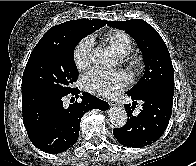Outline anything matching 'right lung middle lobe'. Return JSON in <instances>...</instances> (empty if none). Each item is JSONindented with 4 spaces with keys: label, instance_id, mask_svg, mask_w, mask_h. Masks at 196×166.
<instances>
[{
    "label": "right lung middle lobe",
    "instance_id": "obj_1",
    "mask_svg": "<svg viewBox=\"0 0 196 166\" xmlns=\"http://www.w3.org/2000/svg\"><path fill=\"white\" fill-rule=\"evenodd\" d=\"M89 32L78 24L66 27L60 40L39 41L33 49L22 78V94L48 91L69 94L78 79L73 53L77 43Z\"/></svg>",
    "mask_w": 196,
    "mask_h": 166
}]
</instances>
